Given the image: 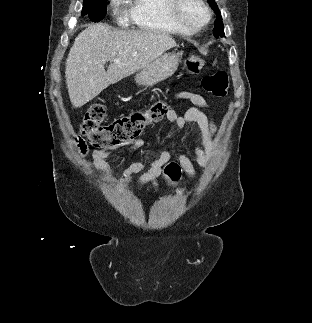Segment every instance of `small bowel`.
I'll return each instance as SVG.
<instances>
[{
  "label": "small bowel",
  "mask_w": 312,
  "mask_h": 323,
  "mask_svg": "<svg viewBox=\"0 0 312 323\" xmlns=\"http://www.w3.org/2000/svg\"><path fill=\"white\" fill-rule=\"evenodd\" d=\"M174 98L178 101L189 102L193 105V107L186 110L183 114L176 112L174 109H168L165 117L170 124L179 130H183L188 125H193V132L195 134L193 145L197 166L181 151L177 152V161L178 164L182 165L187 176L195 177L197 168L204 169L216 152V126L213 118L204 112V109H207L209 104L203 95L188 90H181L175 93ZM144 145L145 141L137 138L129 141L125 151L133 153L141 149ZM111 153L112 151L110 149H99L93 152L92 157L95 167L107 176L110 183L115 184V180L109 175L107 163V158ZM170 159V151L163 150L149 162L137 161L131 163L123 171L121 185L128 184L134 174L142 172V175L138 179V184L151 183L157 191L159 176L164 169V164H171Z\"/></svg>",
  "instance_id": "1"
}]
</instances>
